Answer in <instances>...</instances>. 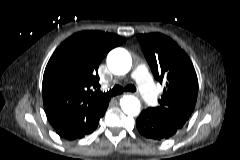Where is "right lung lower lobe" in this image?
<instances>
[{
	"instance_id": "98d812e1",
	"label": "right lung lower lobe",
	"mask_w": 240,
	"mask_h": 160,
	"mask_svg": "<svg viewBox=\"0 0 240 160\" xmlns=\"http://www.w3.org/2000/svg\"><path fill=\"white\" fill-rule=\"evenodd\" d=\"M109 101L95 104L84 114L65 120L56 133L67 140H75L92 133L98 126L100 118L104 115Z\"/></svg>"
}]
</instances>
